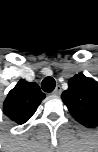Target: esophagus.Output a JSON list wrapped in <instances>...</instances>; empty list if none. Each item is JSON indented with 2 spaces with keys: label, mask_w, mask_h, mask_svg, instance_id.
Masks as SVG:
<instances>
[{
  "label": "esophagus",
  "mask_w": 98,
  "mask_h": 152,
  "mask_svg": "<svg viewBox=\"0 0 98 152\" xmlns=\"http://www.w3.org/2000/svg\"><path fill=\"white\" fill-rule=\"evenodd\" d=\"M61 87H60V85H57L56 87H55V89H54V91H53V94L54 95H60L61 94Z\"/></svg>",
  "instance_id": "esophagus-1"
}]
</instances>
